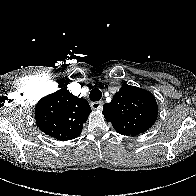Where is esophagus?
<instances>
[{
	"label": "esophagus",
	"instance_id": "1",
	"mask_svg": "<svg viewBox=\"0 0 196 196\" xmlns=\"http://www.w3.org/2000/svg\"><path fill=\"white\" fill-rule=\"evenodd\" d=\"M91 107L93 110H101L103 107V102L102 101L93 102L91 104Z\"/></svg>",
	"mask_w": 196,
	"mask_h": 196
}]
</instances>
